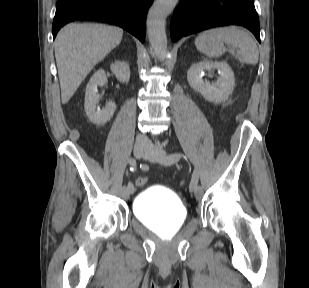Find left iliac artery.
Masks as SVG:
<instances>
[{
	"instance_id": "obj_1",
	"label": "left iliac artery",
	"mask_w": 309,
	"mask_h": 288,
	"mask_svg": "<svg viewBox=\"0 0 309 288\" xmlns=\"http://www.w3.org/2000/svg\"><path fill=\"white\" fill-rule=\"evenodd\" d=\"M181 157V154L179 153H172V154H169L166 158H165V161L164 163L167 164V165H171L175 162H177ZM198 178H199V173L198 171L195 169L193 171V174H192V179H191V182H190V186H189V189H190V192H194L197 184H198Z\"/></svg>"
}]
</instances>
